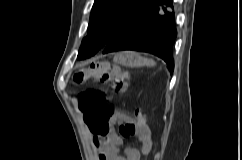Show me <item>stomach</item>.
Instances as JSON below:
<instances>
[{"label":"stomach","mask_w":242,"mask_h":160,"mask_svg":"<svg viewBox=\"0 0 242 160\" xmlns=\"http://www.w3.org/2000/svg\"><path fill=\"white\" fill-rule=\"evenodd\" d=\"M114 61L118 64L128 67H140L148 64L153 65L150 60H147L134 52L119 53L114 57Z\"/></svg>","instance_id":"1"}]
</instances>
